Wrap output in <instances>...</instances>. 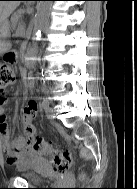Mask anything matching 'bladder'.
I'll use <instances>...</instances> for the list:
<instances>
[{"mask_svg": "<svg viewBox=\"0 0 137 189\" xmlns=\"http://www.w3.org/2000/svg\"><path fill=\"white\" fill-rule=\"evenodd\" d=\"M35 165L27 166L21 169L23 172L24 179L31 184H39L46 177L53 175L54 169L52 164L46 160L41 159L35 162Z\"/></svg>", "mask_w": 137, "mask_h": 189, "instance_id": "obj_1", "label": "bladder"}]
</instances>
